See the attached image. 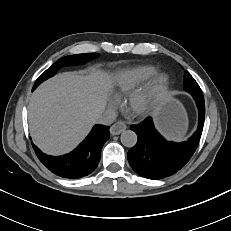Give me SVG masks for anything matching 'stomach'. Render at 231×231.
Instances as JSON below:
<instances>
[{"mask_svg":"<svg viewBox=\"0 0 231 231\" xmlns=\"http://www.w3.org/2000/svg\"><path fill=\"white\" fill-rule=\"evenodd\" d=\"M154 116L156 127L168 139L177 141L184 137L188 125L186 111L172 95L162 99Z\"/></svg>","mask_w":231,"mask_h":231,"instance_id":"0dacf381","label":"stomach"}]
</instances>
